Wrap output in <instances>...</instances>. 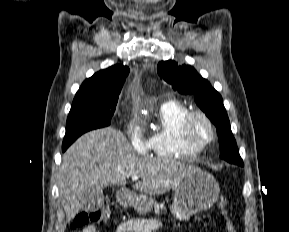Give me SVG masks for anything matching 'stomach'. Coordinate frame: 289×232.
I'll use <instances>...</instances> for the list:
<instances>
[{
	"label": "stomach",
	"mask_w": 289,
	"mask_h": 232,
	"mask_svg": "<svg viewBox=\"0 0 289 232\" xmlns=\"http://www.w3.org/2000/svg\"><path fill=\"white\" fill-rule=\"evenodd\" d=\"M171 211L179 220H188L192 215L209 209L218 199L220 188L215 178L199 168H192L174 188ZM117 201L132 205L140 215L150 211L154 204L151 197L132 193H117Z\"/></svg>",
	"instance_id": "0dacf381"
}]
</instances>
